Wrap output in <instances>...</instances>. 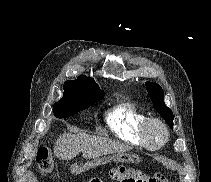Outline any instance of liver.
<instances>
[{
	"label": "liver",
	"instance_id": "obj_1",
	"mask_svg": "<svg viewBox=\"0 0 211 182\" xmlns=\"http://www.w3.org/2000/svg\"><path fill=\"white\" fill-rule=\"evenodd\" d=\"M132 148L112 139L89 136L86 133H64L55 142L54 155L63 160H71L79 153L85 159H98L113 153H124Z\"/></svg>",
	"mask_w": 211,
	"mask_h": 182
}]
</instances>
